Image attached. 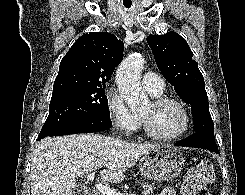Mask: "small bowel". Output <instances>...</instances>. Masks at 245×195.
I'll list each match as a JSON object with an SVG mask.
<instances>
[{"label":"small bowel","mask_w":245,"mask_h":195,"mask_svg":"<svg viewBox=\"0 0 245 195\" xmlns=\"http://www.w3.org/2000/svg\"><path fill=\"white\" fill-rule=\"evenodd\" d=\"M157 195H176L175 190L172 187H165Z\"/></svg>","instance_id":"c3829d8e"}]
</instances>
